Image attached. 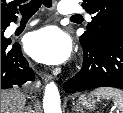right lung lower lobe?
<instances>
[{
    "instance_id": "right-lung-lower-lobe-1",
    "label": "right lung lower lobe",
    "mask_w": 123,
    "mask_h": 113,
    "mask_svg": "<svg viewBox=\"0 0 123 113\" xmlns=\"http://www.w3.org/2000/svg\"><path fill=\"white\" fill-rule=\"evenodd\" d=\"M13 21H1V32ZM10 44L11 41H1V89L12 88L14 85L21 87L26 81L35 79L28 61L23 57L20 45Z\"/></svg>"
}]
</instances>
